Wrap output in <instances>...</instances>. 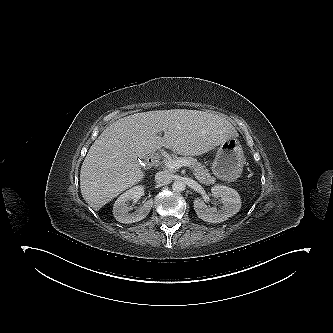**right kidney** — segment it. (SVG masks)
Wrapping results in <instances>:
<instances>
[{"label": "right kidney", "instance_id": "right-kidney-1", "mask_svg": "<svg viewBox=\"0 0 333 333\" xmlns=\"http://www.w3.org/2000/svg\"><path fill=\"white\" fill-rule=\"evenodd\" d=\"M143 192L142 186H135L118 197L113 206V215L117 221L125 224L134 223L144 219L149 214L153 204L151 200H148L134 212H130L132 208L128 206L129 201H138Z\"/></svg>", "mask_w": 333, "mask_h": 333}]
</instances>
